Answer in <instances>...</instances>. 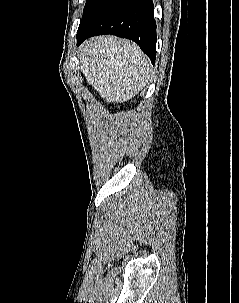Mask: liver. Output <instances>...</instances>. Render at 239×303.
I'll use <instances>...</instances> for the list:
<instances>
[{"label":"liver","instance_id":"1","mask_svg":"<svg viewBox=\"0 0 239 303\" xmlns=\"http://www.w3.org/2000/svg\"><path fill=\"white\" fill-rule=\"evenodd\" d=\"M79 58L87 83L107 103L131 100L148 83L150 61L136 43L127 39L91 38L81 45Z\"/></svg>","mask_w":239,"mask_h":303}]
</instances>
